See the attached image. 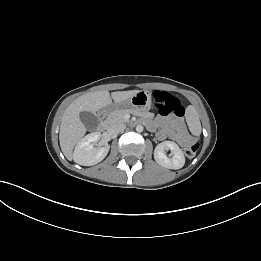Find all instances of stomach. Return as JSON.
I'll list each match as a JSON object with an SVG mask.
<instances>
[{"label": "stomach", "instance_id": "0dacf381", "mask_svg": "<svg viewBox=\"0 0 261 261\" xmlns=\"http://www.w3.org/2000/svg\"><path fill=\"white\" fill-rule=\"evenodd\" d=\"M152 104V96L151 93L147 90H140L136 94H134L132 97H130L128 100L121 102V103H115V108H135L140 111H148L151 108Z\"/></svg>", "mask_w": 261, "mask_h": 261}]
</instances>
